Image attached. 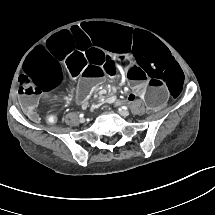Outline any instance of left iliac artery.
Segmentation results:
<instances>
[{"label":"left iliac artery","instance_id":"obj_1","mask_svg":"<svg viewBox=\"0 0 215 215\" xmlns=\"http://www.w3.org/2000/svg\"><path fill=\"white\" fill-rule=\"evenodd\" d=\"M122 109H125V110H127V109H128V107H126V106H123V107H122Z\"/></svg>","mask_w":215,"mask_h":215}]
</instances>
